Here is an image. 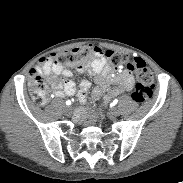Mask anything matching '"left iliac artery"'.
I'll use <instances>...</instances> for the list:
<instances>
[{
    "label": "left iliac artery",
    "instance_id": "44dca946",
    "mask_svg": "<svg viewBox=\"0 0 183 183\" xmlns=\"http://www.w3.org/2000/svg\"><path fill=\"white\" fill-rule=\"evenodd\" d=\"M117 103H118V99L113 100L114 105L117 104Z\"/></svg>",
    "mask_w": 183,
    "mask_h": 183
}]
</instances>
